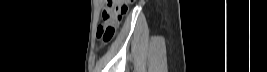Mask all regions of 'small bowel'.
Listing matches in <instances>:
<instances>
[{
	"label": "small bowel",
	"mask_w": 267,
	"mask_h": 72,
	"mask_svg": "<svg viewBox=\"0 0 267 72\" xmlns=\"http://www.w3.org/2000/svg\"><path fill=\"white\" fill-rule=\"evenodd\" d=\"M106 16H107V5H106V7H105V9L103 11V18L106 17Z\"/></svg>",
	"instance_id": "obj_1"
}]
</instances>
